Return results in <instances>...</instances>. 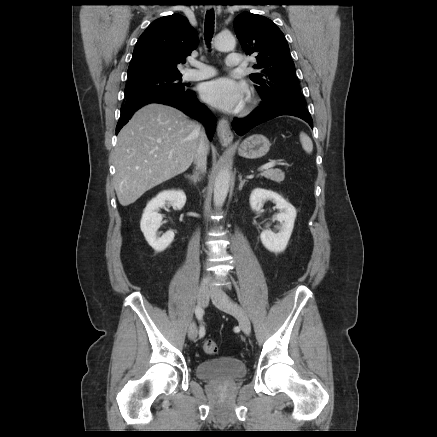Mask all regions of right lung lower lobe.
<instances>
[{
    "label": "right lung lower lobe",
    "instance_id": "1",
    "mask_svg": "<svg viewBox=\"0 0 437 437\" xmlns=\"http://www.w3.org/2000/svg\"><path fill=\"white\" fill-rule=\"evenodd\" d=\"M148 103H161L173 106L190 117L204 122L208 137L210 140L212 139L216 129V121L208 112L207 107L198 101L193 91H186L185 93H156L126 101L121 107V115L116 126V134L129 121L136 110Z\"/></svg>",
    "mask_w": 437,
    "mask_h": 437
}]
</instances>
